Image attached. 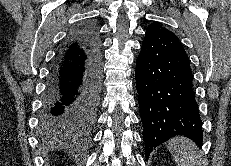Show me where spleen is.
<instances>
[{
    "label": "spleen",
    "instance_id": "1",
    "mask_svg": "<svg viewBox=\"0 0 231 166\" xmlns=\"http://www.w3.org/2000/svg\"><path fill=\"white\" fill-rule=\"evenodd\" d=\"M168 149L178 166H198V149L186 137H175L168 143Z\"/></svg>",
    "mask_w": 231,
    "mask_h": 166
}]
</instances>
